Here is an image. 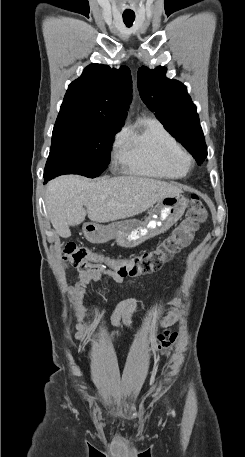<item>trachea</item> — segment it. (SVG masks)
Wrapping results in <instances>:
<instances>
[{
  "instance_id": "trachea-1",
  "label": "trachea",
  "mask_w": 245,
  "mask_h": 457,
  "mask_svg": "<svg viewBox=\"0 0 245 457\" xmlns=\"http://www.w3.org/2000/svg\"><path fill=\"white\" fill-rule=\"evenodd\" d=\"M135 20V13H123V21L127 27H131Z\"/></svg>"
}]
</instances>
